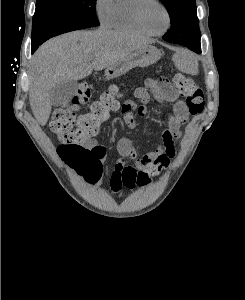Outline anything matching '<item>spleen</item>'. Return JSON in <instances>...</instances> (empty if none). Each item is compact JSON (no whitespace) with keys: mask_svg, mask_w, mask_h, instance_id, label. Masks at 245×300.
Listing matches in <instances>:
<instances>
[{"mask_svg":"<svg viewBox=\"0 0 245 300\" xmlns=\"http://www.w3.org/2000/svg\"><path fill=\"white\" fill-rule=\"evenodd\" d=\"M180 70L191 75H197L198 64L195 57L191 54H186L183 63L180 66Z\"/></svg>","mask_w":245,"mask_h":300,"instance_id":"3e777b00","label":"spleen"}]
</instances>
